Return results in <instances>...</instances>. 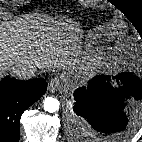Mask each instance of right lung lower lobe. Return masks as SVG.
Wrapping results in <instances>:
<instances>
[{"mask_svg":"<svg viewBox=\"0 0 142 142\" xmlns=\"http://www.w3.org/2000/svg\"><path fill=\"white\" fill-rule=\"evenodd\" d=\"M43 79L0 81V142H18L22 113L46 92Z\"/></svg>","mask_w":142,"mask_h":142,"instance_id":"1","label":"right lung lower lobe"}]
</instances>
